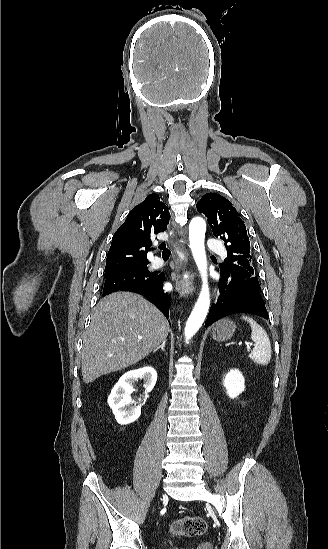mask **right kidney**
<instances>
[{
	"instance_id": "obj_1",
	"label": "right kidney",
	"mask_w": 328,
	"mask_h": 549,
	"mask_svg": "<svg viewBox=\"0 0 328 549\" xmlns=\"http://www.w3.org/2000/svg\"><path fill=\"white\" fill-rule=\"evenodd\" d=\"M137 379H144V395H147V393H151L154 385H156L157 373L153 367H142V369L128 371V373L120 377L108 397V405L112 409L117 423H120V425H129V423H133V421L139 419L141 415V405L134 407V409H129L130 405H136V401H133L130 395L135 391L132 385Z\"/></svg>"
}]
</instances>
